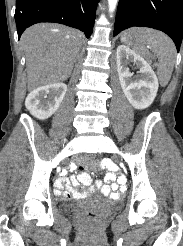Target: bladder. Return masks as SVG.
<instances>
[{
  "mask_svg": "<svg viewBox=\"0 0 183 246\" xmlns=\"http://www.w3.org/2000/svg\"><path fill=\"white\" fill-rule=\"evenodd\" d=\"M69 211L70 212H75V211H77V208L76 207L70 208Z\"/></svg>",
  "mask_w": 183,
  "mask_h": 246,
  "instance_id": "bladder-1",
  "label": "bladder"
}]
</instances>
